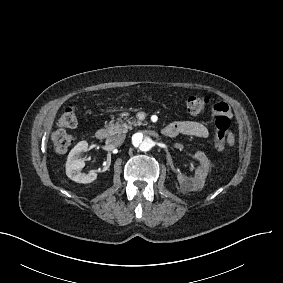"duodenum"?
<instances>
[{
    "label": "duodenum",
    "instance_id": "1",
    "mask_svg": "<svg viewBox=\"0 0 283 283\" xmlns=\"http://www.w3.org/2000/svg\"><path fill=\"white\" fill-rule=\"evenodd\" d=\"M161 132L163 135L169 136V131L167 130V128L162 129ZM109 135H110V132L105 127L99 128L95 133V136L98 140H105L109 137Z\"/></svg>",
    "mask_w": 283,
    "mask_h": 283
}]
</instances>
